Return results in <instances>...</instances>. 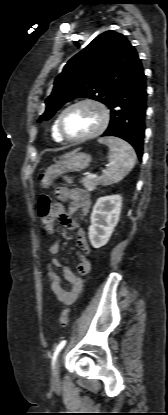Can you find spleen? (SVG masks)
<instances>
[{
    "mask_svg": "<svg viewBox=\"0 0 168 415\" xmlns=\"http://www.w3.org/2000/svg\"><path fill=\"white\" fill-rule=\"evenodd\" d=\"M98 141L110 150L109 167L99 177V182L108 186L119 182L132 170L136 163V153L129 143L119 138L106 137Z\"/></svg>",
    "mask_w": 168,
    "mask_h": 415,
    "instance_id": "obj_1",
    "label": "spleen"
}]
</instances>
